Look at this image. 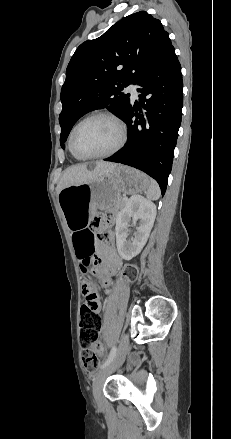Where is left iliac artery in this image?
<instances>
[{
  "label": "left iliac artery",
  "instance_id": "obj_1",
  "mask_svg": "<svg viewBox=\"0 0 231 439\" xmlns=\"http://www.w3.org/2000/svg\"><path fill=\"white\" fill-rule=\"evenodd\" d=\"M116 346H113L108 358L106 359V361L102 364L101 369L105 368L115 357L116 355Z\"/></svg>",
  "mask_w": 231,
  "mask_h": 439
}]
</instances>
